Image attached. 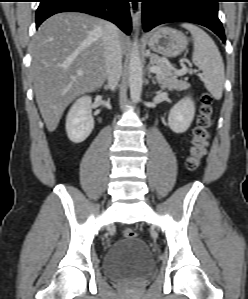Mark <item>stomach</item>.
<instances>
[{"label": "stomach", "instance_id": "obj_1", "mask_svg": "<svg viewBox=\"0 0 248 299\" xmlns=\"http://www.w3.org/2000/svg\"><path fill=\"white\" fill-rule=\"evenodd\" d=\"M187 45L188 39L184 33L170 27L156 29L148 39V46L152 51L167 57L179 55Z\"/></svg>", "mask_w": 248, "mask_h": 299}]
</instances>
